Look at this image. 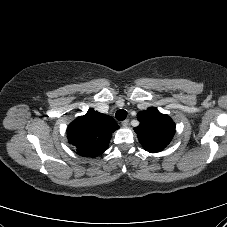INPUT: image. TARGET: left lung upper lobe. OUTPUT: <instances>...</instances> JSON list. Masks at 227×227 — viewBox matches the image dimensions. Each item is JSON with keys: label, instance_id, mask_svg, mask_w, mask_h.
Wrapping results in <instances>:
<instances>
[{"label": "left lung upper lobe", "instance_id": "5c2ea615", "mask_svg": "<svg viewBox=\"0 0 227 227\" xmlns=\"http://www.w3.org/2000/svg\"><path fill=\"white\" fill-rule=\"evenodd\" d=\"M139 126L134 130L140 143L150 153L162 151L175 134V123L156 108H148L137 114Z\"/></svg>", "mask_w": 227, "mask_h": 227}]
</instances>
